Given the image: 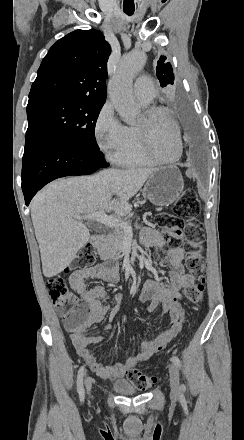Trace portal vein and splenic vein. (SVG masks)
<instances>
[{
    "instance_id": "obj_1",
    "label": "portal vein and splenic vein",
    "mask_w": 244,
    "mask_h": 440,
    "mask_svg": "<svg viewBox=\"0 0 244 440\" xmlns=\"http://www.w3.org/2000/svg\"><path fill=\"white\" fill-rule=\"evenodd\" d=\"M76 220H94V222H99V224H104V226H109V228H118V230H123V232H132L131 224L123 222L122 218H111V216H106L105 212L77 216Z\"/></svg>"
}]
</instances>
